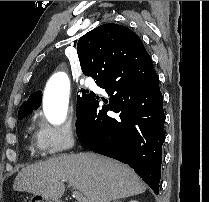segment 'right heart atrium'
<instances>
[{"mask_svg":"<svg viewBox=\"0 0 209 202\" xmlns=\"http://www.w3.org/2000/svg\"><path fill=\"white\" fill-rule=\"evenodd\" d=\"M76 139V128L73 122L51 125L40 121L36 132V144L46 154H60L71 149Z\"/></svg>","mask_w":209,"mask_h":202,"instance_id":"obj_1","label":"right heart atrium"}]
</instances>
